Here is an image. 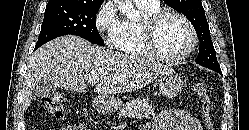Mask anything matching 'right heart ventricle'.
I'll return each mask as SVG.
<instances>
[{
	"label": "right heart ventricle",
	"instance_id": "1",
	"mask_svg": "<svg viewBox=\"0 0 249 130\" xmlns=\"http://www.w3.org/2000/svg\"><path fill=\"white\" fill-rule=\"evenodd\" d=\"M142 13L143 19L160 9L159 4L151 5L141 2H136ZM142 20H124L120 23V29L117 34L114 46L122 53L132 57H149L143 35H142Z\"/></svg>",
	"mask_w": 249,
	"mask_h": 130
}]
</instances>
